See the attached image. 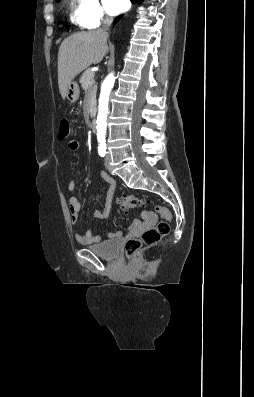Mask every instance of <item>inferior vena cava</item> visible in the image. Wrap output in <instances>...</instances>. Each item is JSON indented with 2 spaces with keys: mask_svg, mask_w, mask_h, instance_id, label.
I'll use <instances>...</instances> for the list:
<instances>
[{
  "mask_svg": "<svg viewBox=\"0 0 254 397\" xmlns=\"http://www.w3.org/2000/svg\"><path fill=\"white\" fill-rule=\"evenodd\" d=\"M111 23H112V19H105L104 21H103V24H102V26H101V28L99 29V34H100V36L105 40V41H107V38H108V30H109V27H110V25H111Z\"/></svg>",
  "mask_w": 254,
  "mask_h": 397,
  "instance_id": "602c4592",
  "label": "inferior vena cava"
}]
</instances>
